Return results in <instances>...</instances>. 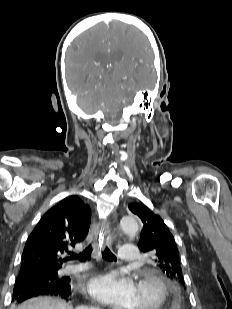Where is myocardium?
Instances as JSON below:
<instances>
[{"mask_svg":"<svg viewBox=\"0 0 232 309\" xmlns=\"http://www.w3.org/2000/svg\"><path fill=\"white\" fill-rule=\"evenodd\" d=\"M152 284L156 287L158 297L156 303L146 309H164L167 305L171 292L167 281L158 273L153 271H141L138 276V285Z\"/></svg>","mask_w":232,"mask_h":309,"instance_id":"myocardium-1","label":"myocardium"}]
</instances>
